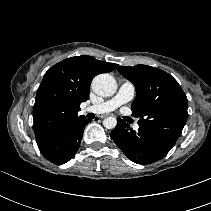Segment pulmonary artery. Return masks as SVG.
Listing matches in <instances>:
<instances>
[{
  "instance_id": "pulmonary-artery-1",
  "label": "pulmonary artery",
  "mask_w": 211,
  "mask_h": 211,
  "mask_svg": "<svg viewBox=\"0 0 211 211\" xmlns=\"http://www.w3.org/2000/svg\"><path fill=\"white\" fill-rule=\"evenodd\" d=\"M135 92L136 90L133 83L126 81L120 85L118 92L116 93L114 97H112L111 99L107 101L90 105L85 108V111L96 113V114L111 112L115 110L116 108H118L119 106L131 101L135 96ZM134 129L138 130L139 125L136 124L134 126Z\"/></svg>"
}]
</instances>
